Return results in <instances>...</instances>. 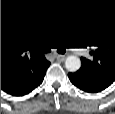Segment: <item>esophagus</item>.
Instances as JSON below:
<instances>
[{"label":"esophagus","mask_w":115,"mask_h":114,"mask_svg":"<svg viewBox=\"0 0 115 114\" xmlns=\"http://www.w3.org/2000/svg\"><path fill=\"white\" fill-rule=\"evenodd\" d=\"M56 59L59 62H63L65 60V56L64 55H58V56H56Z\"/></svg>","instance_id":"esophagus-1"}]
</instances>
